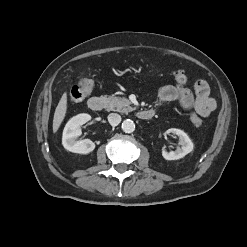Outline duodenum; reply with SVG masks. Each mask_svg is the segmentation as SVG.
Listing matches in <instances>:
<instances>
[{"mask_svg":"<svg viewBox=\"0 0 247 247\" xmlns=\"http://www.w3.org/2000/svg\"><path fill=\"white\" fill-rule=\"evenodd\" d=\"M106 99L104 97H92L88 101V106L92 111L99 112L106 107ZM154 109H143L138 112V117L142 120H150L154 117Z\"/></svg>","mask_w":247,"mask_h":247,"instance_id":"obj_1","label":"duodenum"}]
</instances>
